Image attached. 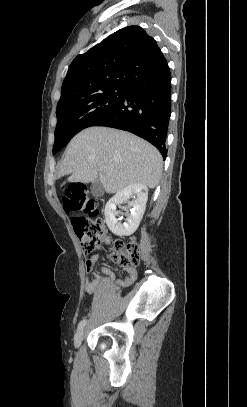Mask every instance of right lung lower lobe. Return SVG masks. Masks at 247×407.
<instances>
[{
    "label": "right lung lower lobe",
    "instance_id": "98d812e1",
    "mask_svg": "<svg viewBox=\"0 0 247 407\" xmlns=\"http://www.w3.org/2000/svg\"><path fill=\"white\" fill-rule=\"evenodd\" d=\"M122 102L94 126L134 133L167 156L166 137L171 115V74L168 63L137 77L126 87Z\"/></svg>",
    "mask_w": 247,
    "mask_h": 407
}]
</instances>
